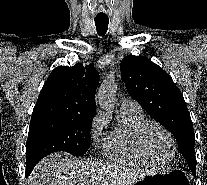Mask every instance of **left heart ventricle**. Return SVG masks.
I'll return each mask as SVG.
<instances>
[{
    "mask_svg": "<svg viewBox=\"0 0 207 185\" xmlns=\"http://www.w3.org/2000/svg\"><path fill=\"white\" fill-rule=\"evenodd\" d=\"M149 146L151 150L162 160H169L174 152V146L165 133L153 129L149 134Z\"/></svg>",
    "mask_w": 207,
    "mask_h": 185,
    "instance_id": "obj_1",
    "label": "left heart ventricle"
}]
</instances>
